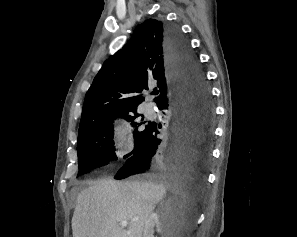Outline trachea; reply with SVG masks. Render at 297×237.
<instances>
[{
  "instance_id": "1",
  "label": "trachea",
  "mask_w": 297,
  "mask_h": 237,
  "mask_svg": "<svg viewBox=\"0 0 297 237\" xmlns=\"http://www.w3.org/2000/svg\"><path fill=\"white\" fill-rule=\"evenodd\" d=\"M159 92L157 91V90H155L154 92H153V94H155V95H157Z\"/></svg>"
}]
</instances>
